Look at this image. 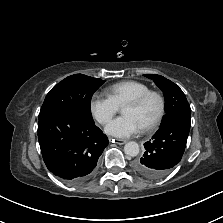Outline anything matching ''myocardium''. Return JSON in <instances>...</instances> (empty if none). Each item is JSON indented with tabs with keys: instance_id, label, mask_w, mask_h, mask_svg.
Masks as SVG:
<instances>
[{
	"instance_id": "1",
	"label": "myocardium",
	"mask_w": 223,
	"mask_h": 223,
	"mask_svg": "<svg viewBox=\"0 0 223 223\" xmlns=\"http://www.w3.org/2000/svg\"><path fill=\"white\" fill-rule=\"evenodd\" d=\"M151 96H156L159 99L160 109L157 116L149 124L141 128L144 132L152 131L157 128L164 118L166 112V98L163 93L157 90H148L125 104V106H140Z\"/></svg>"
}]
</instances>
